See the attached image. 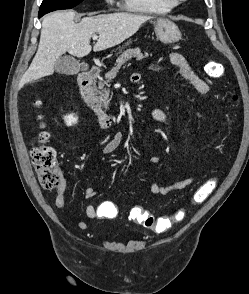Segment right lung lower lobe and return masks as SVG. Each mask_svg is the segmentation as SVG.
I'll return each mask as SVG.
<instances>
[{
    "instance_id": "98d812e1",
    "label": "right lung lower lobe",
    "mask_w": 249,
    "mask_h": 294,
    "mask_svg": "<svg viewBox=\"0 0 249 294\" xmlns=\"http://www.w3.org/2000/svg\"><path fill=\"white\" fill-rule=\"evenodd\" d=\"M42 16H43L42 14H39V18L42 17Z\"/></svg>"
}]
</instances>
